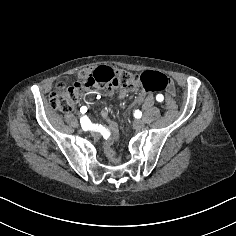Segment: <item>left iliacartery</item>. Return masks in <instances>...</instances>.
Wrapping results in <instances>:
<instances>
[{
  "instance_id": "44dca946",
  "label": "left iliac artery",
  "mask_w": 236,
  "mask_h": 236,
  "mask_svg": "<svg viewBox=\"0 0 236 236\" xmlns=\"http://www.w3.org/2000/svg\"><path fill=\"white\" fill-rule=\"evenodd\" d=\"M163 99H164V97H163L162 94H158V95L156 96V100H157L158 102H162Z\"/></svg>"
}]
</instances>
